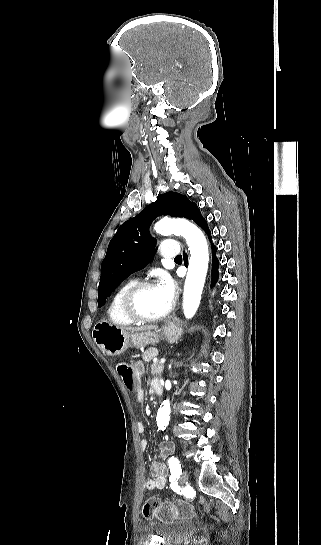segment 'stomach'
<instances>
[{"label": "stomach", "instance_id": "0dacf381", "mask_svg": "<svg viewBox=\"0 0 321 545\" xmlns=\"http://www.w3.org/2000/svg\"><path fill=\"white\" fill-rule=\"evenodd\" d=\"M182 333V325L177 319L161 327L160 331H141V333H123L116 325L99 321L94 325L93 339L105 355H121L129 347L141 349L145 345H156L160 339H165L168 343H176Z\"/></svg>", "mask_w": 321, "mask_h": 545}]
</instances>
